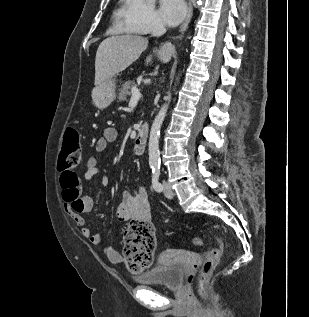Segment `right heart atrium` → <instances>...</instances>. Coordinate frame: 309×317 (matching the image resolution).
I'll return each instance as SVG.
<instances>
[{
  "label": "right heart atrium",
  "mask_w": 309,
  "mask_h": 317,
  "mask_svg": "<svg viewBox=\"0 0 309 317\" xmlns=\"http://www.w3.org/2000/svg\"><path fill=\"white\" fill-rule=\"evenodd\" d=\"M121 19L124 27L133 33L149 34L163 28L153 0H124Z\"/></svg>",
  "instance_id": "d8ad5b80"
}]
</instances>
